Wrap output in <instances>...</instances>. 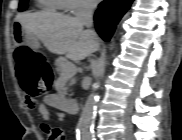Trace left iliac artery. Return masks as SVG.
<instances>
[{"label": "left iliac artery", "mask_w": 182, "mask_h": 140, "mask_svg": "<svg viewBox=\"0 0 182 140\" xmlns=\"http://www.w3.org/2000/svg\"><path fill=\"white\" fill-rule=\"evenodd\" d=\"M92 140H96V138L94 137V136H92V138H91Z\"/></svg>", "instance_id": "44dca946"}]
</instances>
